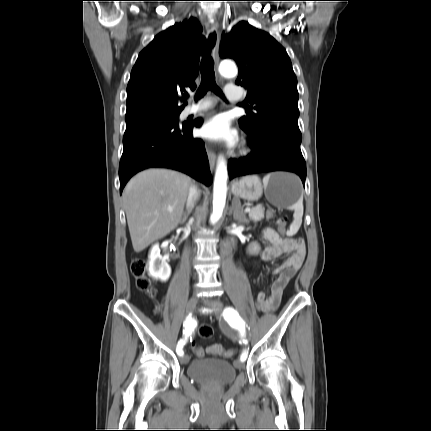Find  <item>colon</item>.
I'll return each mask as SVG.
<instances>
[{"instance_id": "colon-1", "label": "colon", "mask_w": 431, "mask_h": 431, "mask_svg": "<svg viewBox=\"0 0 431 431\" xmlns=\"http://www.w3.org/2000/svg\"><path fill=\"white\" fill-rule=\"evenodd\" d=\"M268 218H275V226L277 230L281 233V237H285L287 219H276V214L273 210L267 212ZM131 273L136 279V286L139 290L146 292L148 295H154V289L152 288L151 280L147 275V263L142 258H135L132 260L130 265ZM252 304L255 305L256 311L261 312V305H259V299L253 298ZM198 333L201 338L209 339L213 335V328L208 323H203L198 328ZM201 344L192 343L191 344V354L193 358L201 360L204 357V350L201 348ZM234 348L231 347L225 353L226 358H231L233 356Z\"/></svg>"}]
</instances>
